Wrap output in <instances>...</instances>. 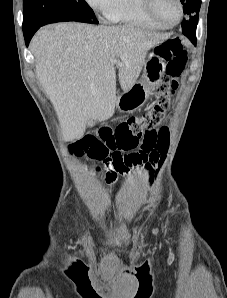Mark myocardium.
I'll use <instances>...</instances> for the list:
<instances>
[{
  "label": "myocardium",
  "instance_id": "f54148a6",
  "mask_svg": "<svg viewBox=\"0 0 227 298\" xmlns=\"http://www.w3.org/2000/svg\"><path fill=\"white\" fill-rule=\"evenodd\" d=\"M155 2L156 0H143L145 13L150 19H152L154 22L166 28L174 27L181 22L184 16V5L182 0H176L179 6V17L174 23H166L156 14Z\"/></svg>",
  "mask_w": 227,
  "mask_h": 298
}]
</instances>
